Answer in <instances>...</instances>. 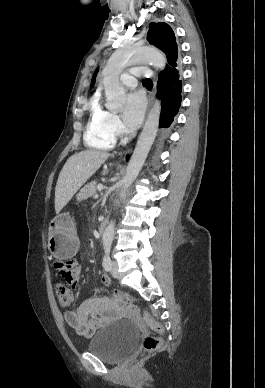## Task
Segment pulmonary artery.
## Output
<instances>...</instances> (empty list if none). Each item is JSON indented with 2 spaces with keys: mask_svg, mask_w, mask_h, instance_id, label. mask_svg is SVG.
Listing matches in <instances>:
<instances>
[{
  "mask_svg": "<svg viewBox=\"0 0 265 388\" xmlns=\"http://www.w3.org/2000/svg\"><path fill=\"white\" fill-rule=\"evenodd\" d=\"M130 69H134L132 71L133 75H122V86H137V79H135V76H137L139 79H152V72H140L138 70V66H130ZM126 73L125 71L123 72Z\"/></svg>",
  "mask_w": 265,
  "mask_h": 388,
  "instance_id": "e3ab8cb5",
  "label": "pulmonary artery"
}]
</instances>
